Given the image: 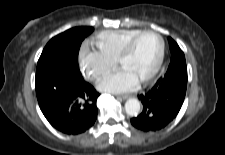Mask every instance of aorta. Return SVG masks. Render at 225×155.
<instances>
[{
    "mask_svg": "<svg viewBox=\"0 0 225 155\" xmlns=\"http://www.w3.org/2000/svg\"><path fill=\"white\" fill-rule=\"evenodd\" d=\"M125 111L129 116H137L140 112V102L138 99L131 98L125 103Z\"/></svg>",
    "mask_w": 225,
    "mask_h": 155,
    "instance_id": "762f6f07",
    "label": "aorta"
}]
</instances>
